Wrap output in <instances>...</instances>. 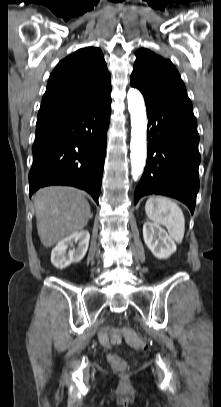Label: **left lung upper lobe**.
I'll return each mask as SVG.
<instances>
[{"label": "left lung upper lobe", "instance_id": "1", "mask_svg": "<svg viewBox=\"0 0 221 407\" xmlns=\"http://www.w3.org/2000/svg\"><path fill=\"white\" fill-rule=\"evenodd\" d=\"M131 86L138 88L144 98L148 99L188 97L184 83L172 62L144 48L136 52Z\"/></svg>", "mask_w": 221, "mask_h": 407}]
</instances>
